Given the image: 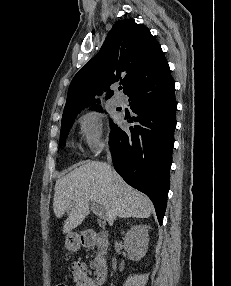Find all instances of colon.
I'll use <instances>...</instances> for the list:
<instances>
[{
    "mask_svg": "<svg viewBox=\"0 0 231 286\" xmlns=\"http://www.w3.org/2000/svg\"><path fill=\"white\" fill-rule=\"evenodd\" d=\"M56 286H69V285L66 284V283H60V284H58V285H56Z\"/></svg>",
    "mask_w": 231,
    "mask_h": 286,
    "instance_id": "1",
    "label": "colon"
}]
</instances>
